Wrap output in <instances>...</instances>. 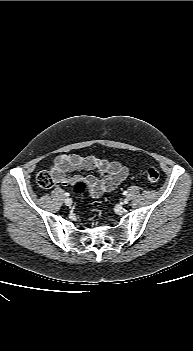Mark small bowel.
Returning <instances> with one entry per match:
<instances>
[{"label": "small bowel", "instance_id": "1", "mask_svg": "<svg viewBox=\"0 0 193 351\" xmlns=\"http://www.w3.org/2000/svg\"><path fill=\"white\" fill-rule=\"evenodd\" d=\"M75 170L96 171L99 176L70 175V172ZM50 173L54 182L59 186H68L78 180H83L88 183L90 194L93 197H100L117 188L127 177L128 170L117 161H109L95 155L68 154L55 159Z\"/></svg>", "mask_w": 193, "mask_h": 351}]
</instances>
